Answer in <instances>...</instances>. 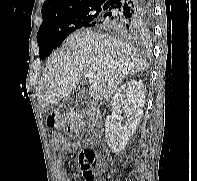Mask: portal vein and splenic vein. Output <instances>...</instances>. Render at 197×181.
<instances>
[{
	"label": "portal vein and splenic vein",
	"mask_w": 197,
	"mask_h": 181,
	"mask_svg": "<svg viewBox=\"0 0 197 181\" xmlns=\"http://www.w3.org/2000/svg\"><path fill=\"white\" fill-rule=\"evenodd\" d=\"M86 76L91 81V80H93L95 78V72L89 71V72L86 73Z\"/></svg>",
	"instance_id": "1"
}]
</instances>
